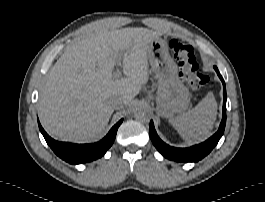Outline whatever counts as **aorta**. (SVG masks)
Here are the masks:
<instances>
[{
  "label": "aorta",
  "instance_id": "obj_1",
  "mask_svg": "<svg viewBox=\"0 0 265 202\" xmlns=\"http://www.w3.org/2000/svg\"><path fill=\"white\" fill-rule=\"evenodd\" d=\"M134 116L141 122H148L151 118L150 111L147 106L139 105L134 112Z\"/></svg>",
  "mask_w": 265,
  "mask_h": 202
}]
</instances>
